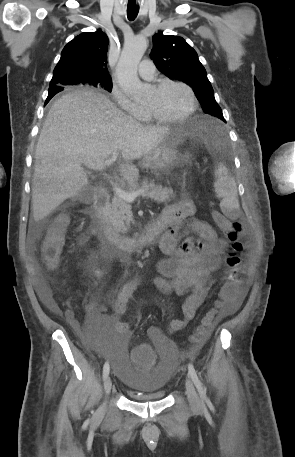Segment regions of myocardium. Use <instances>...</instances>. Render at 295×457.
Masks as SVG:
<instances>
[{"label":"myocardium","mask_w":295,"mask_h":457,"mask_svg":"<svg viewBox=\"0 0 295 457\" xmlns=\"http://www.w3.org/2000/svg\"><path fill=\"white\" fill-rule=\"evenodd\" d=\"M168 85L181 86L188 92L191 101L189 109L184 114L176 117H164L160 115L154 108L147 105H145L146 112L148 113L151 119L160 123H177L187 120L196 112L198 107V100L194 90L185 82L172 79H161L157 81L153 85V89L161 90L162 88Z\"/></svg>","instance_id":"obj_1"}]
</instances>
